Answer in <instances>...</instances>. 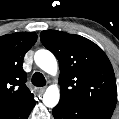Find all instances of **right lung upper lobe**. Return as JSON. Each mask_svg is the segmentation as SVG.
<instances>
[{"instance_id":"obj_1","label":"right lung upper lobe","mask_w":119,"mask_h":119,"mask_svg":"<svg viewBox=\"0 0 119 119\" xmlns=\"http://www.w3.org/2000/svg\"><path fill=\"white\" fill-rule=\"evenodd\" d=\"M34 32H18L0 37V110L34 97L25 85L23 58L35 44Z\"/></svg>"}]
</instances>
